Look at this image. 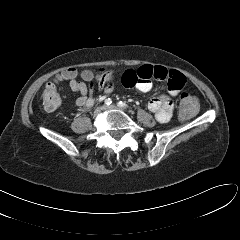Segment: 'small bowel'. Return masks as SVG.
<instances>
[{"label": "small bowel", "mask_w": 240, "mask_h": 240, "mask_svg": "<svg viewBox=\"0 0 240 240\" xmlns=\"http://www.w3.org/2000/svg\"><path fill=\"white\" fill-rule=\"evenodd\" d=\"M83 81H79L75 76L69 78V86L73 92L79 94L76 105L80 108L90 106L93 100L94 81L99 85V90L103 94L113 91L115 84V74L109 70L84 71ZM152 79L165 81L169 96L157 94L147 103V108L155 118L162 123L168 122L174 114V106L170 96H176L186 83L185 76L176 70H168L163 66H141L138 69H128L121 77V82L125 87L135 88L141 93H147L152 89Z\"/></svg>", "instance_id": "1"}]
</instances>
